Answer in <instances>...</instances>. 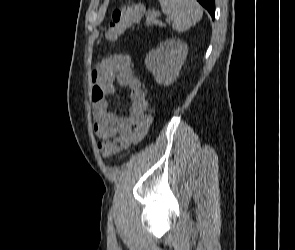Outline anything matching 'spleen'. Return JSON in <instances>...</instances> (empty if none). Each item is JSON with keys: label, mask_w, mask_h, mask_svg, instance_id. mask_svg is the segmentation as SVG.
Returning <instances> with one entry per match:
<instances>
[{"label": "spleen", "mask_w": 295, "mask_h": 250, "mask_svg": "<svg viewBox=\"0 0 295 250\" xmlns=\"http://www.w3.org/2000/svg\"><path fill=\"white\" fill-rule=\"evenodd\" d=\"M162 12L172 21V27L182 32L195 25L203 15L196 0H159Z\"/></svg>", "instance_id": "3e777b00"}]
</instances>
